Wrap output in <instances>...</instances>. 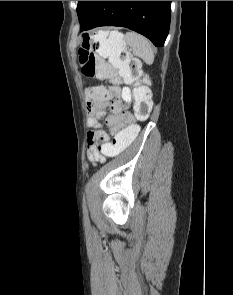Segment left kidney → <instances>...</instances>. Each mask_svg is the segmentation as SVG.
Returning a JSON list of instances; mask_svg holds the SVG:
<instances>
[{
	"label": "left kidney",
	"mask_w": 233,
	"mask_h": 295,
	"mask_svg": "<svg viewBox=\"0 0 233 295\" xmlns=\"http://www.w3.org/2000/svg\"><path fill=\"white\" fill-rule=\"evenodd\" d=\"M143 83L147 84V85H151V81L149 79V76L145 75L143 78Z\"/></svg>",
	"instance_id": "left-kidney-1"
}]
</instances>
